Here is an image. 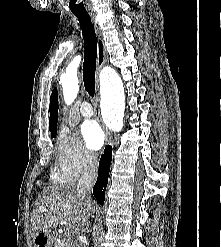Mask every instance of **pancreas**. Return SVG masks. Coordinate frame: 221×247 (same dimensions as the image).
<instances>
[{
	"label": "pancreas",
	"instance_id": "pancreas-1",
	"mask_svg": "<svg viewBox=\"0 0 221 247\" xmlns=\"http://www.w3.org/2000/svg\"><path fill=\"white\" fill-rule=\"evenodd\" d=\"M54 247H72L70 239L62 236L59 240L55 241Z\"/></svg>",
	"mask_w": 221,
	"mask_h": 247
}]
</instances>
